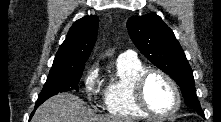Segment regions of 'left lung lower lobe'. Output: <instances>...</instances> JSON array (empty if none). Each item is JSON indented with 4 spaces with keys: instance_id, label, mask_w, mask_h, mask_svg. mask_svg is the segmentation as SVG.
<instances>
[{
    "instance_id": "obj_1",
    "label": "left lung lower lobe",
    "mask_w": 221,
    "mask_h": 122,
    "mask_svg": "<svg viewBox=\"0 0 221 122\" xmlns=\"http://www.w3.org/2000/svg\"><path fill=\"white\" fill-rule=\"evenodd\" d=\"M198 114L201 115L202 117H205L204 114H203V112H202V113H198Z\"/></svg>"
}]
</instances>
